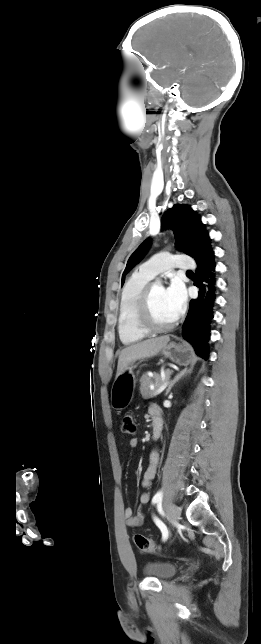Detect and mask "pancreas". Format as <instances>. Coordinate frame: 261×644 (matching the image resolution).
I'll list each match as a JSON object with an SVG mask.
<instances>
[{
    "label": "pancreas",
    "mask_w": 261,
    "mask_h": 644,
    "mask_svg": "<svg viewBox=\"0 0 261 644\" xmlns=\"http://www.w3.org/2000/svg\"><path fill=\"white\" fill-rule=\"evenodd\" d=\"M173 373L172 370L167 369L164 374L165 378H169L170 375ZM154 382H155V389L151 390L150 385L152 383V380L148 374L142 375L140 378V393L144 399H148L154 396L155 391L164 383L162 376L158 373H154Z\"/></svg>",
    "instance_id": "cf45deb5"
}]
</instances>
